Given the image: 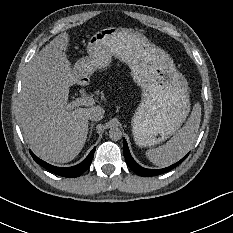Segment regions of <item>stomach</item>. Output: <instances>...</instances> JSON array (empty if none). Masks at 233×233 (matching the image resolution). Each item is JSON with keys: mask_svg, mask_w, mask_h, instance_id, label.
<instances>
[{"mask_svg": "<svg viewBox=\"0 0 233 233\" xmlns=\"http://www.w3.org/2000/svg\"><path fill=\"white\" fill-rule=\"evenodd\" d=\"M86 50L87 56L74 66L80 78L107 68L114 57L129 66L141 88V102L131 121L136 145L152 147L176 133L190 112L189 88L164 50L144 34L121 27L97 31Z\"/></svg>", "mask_w": 233, "mask_h": 233, "instance_id": "1", "label": "stomach"}]
</instances>
